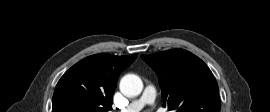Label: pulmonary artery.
<instances>
[{"mask_svg":"<svg viewBox=\"0 0 270 112\" xmlns=\"http://www.w3.org/2000/svg\"><path fill=\"white\" fill-rule=\"evenodd\" d=\"M155 97V88L152 85H148L139 99L132 101L118 112H139L145 105L153 104Z\"/></svg>","mask_w":270,"mask_h":112,"instance_id":"e3ab8cb5","label":"pulmonary artery"}]
</instances>
